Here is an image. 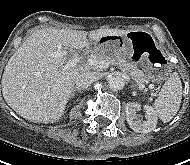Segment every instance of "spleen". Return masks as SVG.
I'll list each match as a JSON object with an SVG mask.
<instances>
[{"label":"spleen","instance_id":"spleen-1","mask_svg":"<svg viewBox=\"0 0 190 165\" xmlns=\"http://www.w3.org/2000/svg\"><path fill=\"white\" fill-rule=\"evenodd\" d=\"M182 99V83L178 73L173 72L164 83L159 97L154 102V109L162 122L167 123L177 114Z\"/></svg>","mask_w":190,"mask_h":165}]
</instances>
